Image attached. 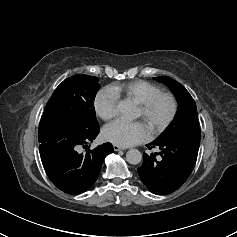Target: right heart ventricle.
<instances>
[{
  "mask_svg": "<svg viewBox=\"0 0 237 237\" xmlns=\"http://www.w3.org/2000/svg\"><path fill=\"white\" fill-rule=\"evenodd\" d=\"M109 89L116 94L118 98L131 100L136 104L149 98L150 96L161 92V89L145 80H132L113 84Z\"/></svg>",
  "mask_w": 237,
  "mask_h": 237,
  "instance_id": "1",
  "label": "right heart ventricle"
}]
</instances>
